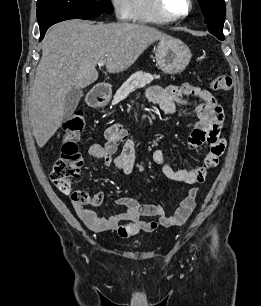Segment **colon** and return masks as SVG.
Segmentation results:
<instances>
[{
  "label": "colon",
  "mask_w": 261,
  "mask_h": 306,
  "mask_svg": "<svg viewBox=\"0 0 261 306\" xmlns=\"http://www.w3.org/2000/svg\"><path fill=\"white\" fill-rule=\"evenodd\" d=\"M211 87L216 91H227L232 87V78L221 74L211 82ZM85 126V118L82 112H75L64 124L65 136L61 148V154L54 163L50 172V180L62 192L70 190V179L80 173L83 160L77 145L79 133ZM72 200L83 205H98L101 197L96 193L88 195L84 192H74Z\"/></svg>",
  "instance_id": "1"
}]
</instances>
